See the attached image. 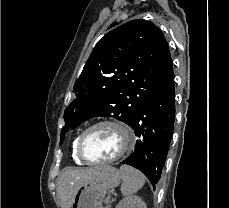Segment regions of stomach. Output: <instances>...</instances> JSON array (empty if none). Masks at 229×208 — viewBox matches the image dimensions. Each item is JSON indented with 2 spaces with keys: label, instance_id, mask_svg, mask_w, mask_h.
<instances>
[{
  "label": "stomach",
  "instance_id": "stomach-1",
  "mask_svg": "<svg viewBox=\"0 0 229 208\" xmlns=\"http://www.w3.org/2000/svg\"><path fill=\"white\" fill-rule=\"evenodd\" d=\"M121 182L120 172L113 166H105L99 178H94L78 188L71 208H102L107 190L116 188Z\"/></svg>",
  "mask_w": 229,
  "mask_h": 208
}]
</instances>
